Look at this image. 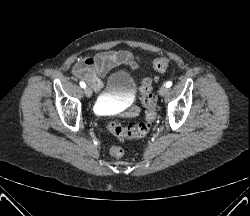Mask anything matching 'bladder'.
I'll use <instances>...</instances> for the list:
<instances>
[{
    "instance_id": "bladder-1",
    "label": "bladder",
    "mask_w": 250,
    "mask_h": 216,
    "mask_svg": "<svg viewBox=\"0 0 250 216\" xmlns=\"http://www.w3.org/2000/svg\"><path fill=\"white\" fill-rule=\"evenodd\" d=\"M136 92V81L126 71H116L107 78L104 91L96 102V110L105 112L112 108L119 99H127L134 96Z\"/></svg>"
}]
</instances>
